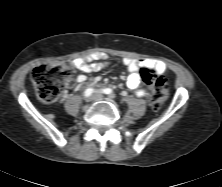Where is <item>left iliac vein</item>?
Listing matches in <instances>:
<instances>
[{
  "label": "left iliac vein",
  "mask_w": 222,
  "mask_h": 187,
  "mask_svg": "<svg viewBox=\"0 0 222 187\" xmlns=\"http://www.w3.org/2000/svg\"><path fill=\"white\" fill-rule=\"evenodd\" d=\"M95 100H103V95L101 94H96L94 95Z\"/></svg>",
  "instance_id": "obj_1"
}]
</instances>
